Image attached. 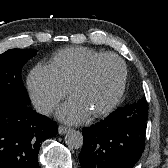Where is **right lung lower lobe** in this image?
<instances>
[{"mask_svg":"<svg viewBox=\"0 0 168 168\" xmlns=\"http://www.w3.org/2000/svg\"><path fill=\"white\" fill-rule=\"evenodd\" d=\"M56 134V124L29 105L0 99V168H39L41 143Z\"/></svg>","mask_w":168,"mask_h":168,"instance_id":"right-lung-lower-lobe-1","label":"right lung lower lobe"}]
</instances>
